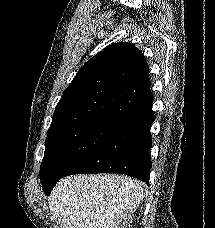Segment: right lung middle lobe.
Masks as SVG:
<instances>
[{"instance_id":"1","label":"right lung middle lobe","mask_w":215,"mask_h":228,"mask_svg":"<svg viewBox=\"0 0 215 228\" xmlns=\"http://www.w3.org/2000/svg\"><path fill=\"white\" fill-rule=\"evenodd\" d=\"M126 124L122 120L100 117L48 133L40 169L44 193L48 196L73 166Z\"/></svg>"}]
</instances>
